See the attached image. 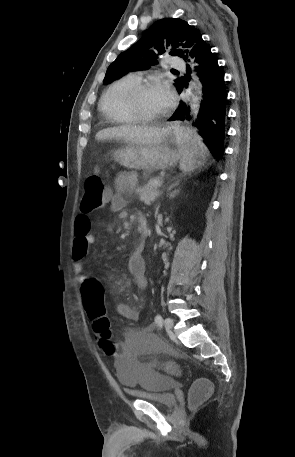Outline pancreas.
Instances as JSON below:
<instances>
[{
	"instance_id": "cf45deb5",
	"label": "pancreas",
	"mask_w": 295,
	"mask_h": 457,
	"mask_svg": "<svg viewBox=\"0 0 295 457\" xmlns=\"http://www.w3.org/2000/svg\"><path fill=\"white\" fill-rule=\"evenodd\" d=\"M155 181L160 182V179H151L146 185L136 189V193L138 194L140 201L145 204H150L159 195L158 186L154 185Z\"/></svg>"
}]
</instances>
